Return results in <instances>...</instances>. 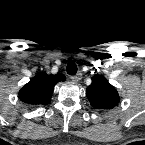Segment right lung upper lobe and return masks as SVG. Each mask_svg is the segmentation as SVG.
I'll use <instances>...</instances> for the list:
<instances>
[{
    "mask_svg": "<svg viewBox=\"0 0 145 145\" xmlns=\"http://www.w3.org/2000/svg\"><path fill=\"white\" fill-rule=\"evenodd\" d=\"M65 80V76L62 74L47 75L46 73H39L20 89L19 98L27 104L46 105L51 100L54 86Z\"/></svg>",
    "mask_w": 145,
    "mask_h": 145,
    "instance_id": "obj_1",
    "label": "right lung upper lobe"
}]
</instances>
